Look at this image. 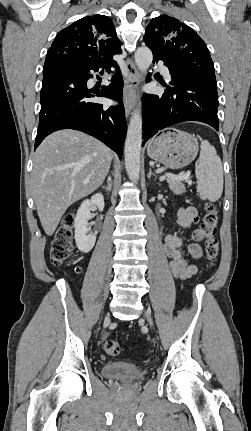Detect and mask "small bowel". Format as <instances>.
<instances>
[{"instance_id": "small-bowel-1", "label": "small bowel", "mask_w": 251, "mask_h": 431, "mask_svg": "<svg viewBox=\"0 0 251 431\" xmlns=\"http://www.w3.org/2000/svg\"><path fill=\"white\" fill-rule=\"evenodd\" d=\"M198 220L197 211L193 207L180 208L177 212V221L182 228H189L191 225L196 223ZM192 239L194 243L188 246V252L194 259H199L202 256V248L199 244L203 240L204 234L201 229H195L192 232ZM183 237L174 234L167 233L164 240V252L170 259V268L174 278L178 280H186L198 272V267L195 264H189L186 259L182 257L180 248L183 245ZM79 272L80 269L78 268Z\"/></svg>"}]
</instances>
